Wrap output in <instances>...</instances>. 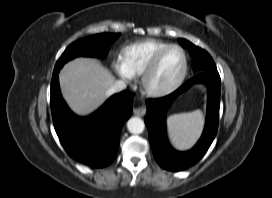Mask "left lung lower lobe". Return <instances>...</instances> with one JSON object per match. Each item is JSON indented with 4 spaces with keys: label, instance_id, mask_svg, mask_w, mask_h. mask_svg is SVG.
<instances>
[{
    "label": "left lung lower lobe",
    "instance_id": "obj_1",
    "mask_svg": "<svg viewBox=\"0 0 272 198\" xmlns=\"http://www.w3.org/2000/svg\"><path fill=\"white\" fill-rule=\"evenodd\" d=\"M195 83L208 86V104L204 132L198 143L189 151L179 152L168 143L165 129L166 111L173 100ZM221 80L217 69L202 71L172 94L146 100L145 124L157 163L164 169L180 171L197 163L210 147L218 129Z\"/></svg>",
    "mask_w": 272,
    "mask_h": 198
}]
</instances>
